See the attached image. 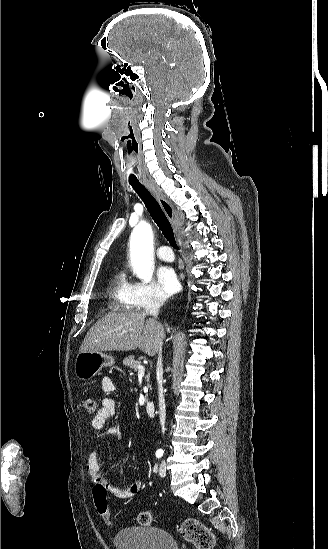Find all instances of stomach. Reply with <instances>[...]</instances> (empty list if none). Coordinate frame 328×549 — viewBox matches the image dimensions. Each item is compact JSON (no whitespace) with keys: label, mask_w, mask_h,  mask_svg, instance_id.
I'll return each mask as SVG.
<instances>
[{"label":"stomach","mask_w":328,"mask_h":549,"mask_svg":"<svg viewBox=\"0 0 328 549\" xmlns=\"http://www.w3.org/2000/svg\"><path fill=\"white\" fill-rule=\"evenodd\" d=\"M114 363L113 357L104 353H78L74 365L75 375L80 381H90L103 367H113Z\"/></svg>","instance_id":"obj_1"}]
</instances>
